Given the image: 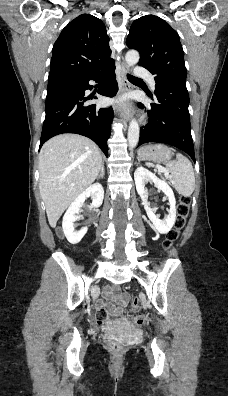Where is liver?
Listing matches in <instances>:
<instances>
[{"label":"liver","instance_id":"6515ba94","mask_svg":"<svg viewBox=\"0 0 228 396\" xmlns=\"http://www.w3.org/2000/svg\"><path fill=\"white\" fill-rule=\"evenodd\" d=\"M102 164L97 145L78 134H61L43 145L39 154V189L52 228L94 182Z\"/></svg>","mask_w":228,"mask_h":396}]
</instances>
